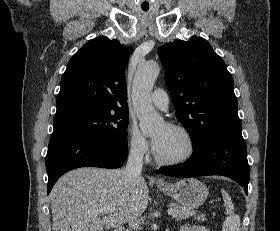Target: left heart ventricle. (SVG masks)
Returning a JSON list of instances; mask_svg holds the SVG:
<instances>
[{
    "mask_svg": "<svg viewBox=\"0 0 280 231\" xmlns=\"http://www.w3.org/2000/svg\"><path fill=\"white\" fill-rule=\"evenodd\" d=\"M165 129L167 130L166 141L158 154L165 159H171L184 155L188 151L189 146L186 138L180 133L170 127L166 128V126H162L158 128L153 135L156 136Z\"/></svg>",
    "mask_w": 280,
    "mask_h": 231,
    "instance_id": "obj_1",
    "label": "left heart ventricle"
}]
</instances>
